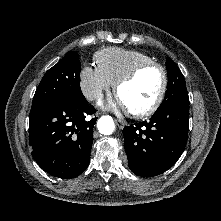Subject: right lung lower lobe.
<instances>
[{
    "mask_svg": "<svg viewBox=\"0 0 221 221\" xmlns=\"http://www.w3.org/2000/svg\"><path fill=\"white\" fill-rule=\"evenodd\" d=\"M85 97L55 100L29 117L32 156L48 174L70 179L88 166L98 117ZM92 116L91 119L87 117Z\"/></svg>",
    "mask_w": 221,
    "mask_h": 221,
    "instance_id": "obj_1",
    "label": "right lung lower lobe"
}]
</instances>
